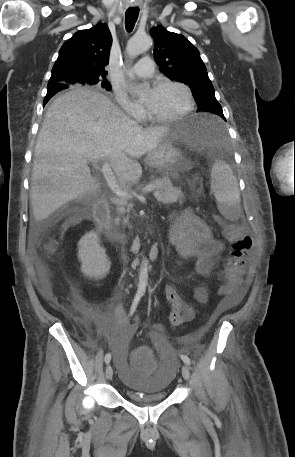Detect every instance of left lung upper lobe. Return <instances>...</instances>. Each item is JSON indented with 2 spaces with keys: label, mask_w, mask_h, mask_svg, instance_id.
I'll use <instances>...</instances> for the list:
<instances>
[{
  "label": "left lung upper lobe",
  "mask_w": 295,
  "mask_h": 457,
  "mask_svg": "<svg viewBox=\"0 0 295 457\" xmlns=\"http://www.w3.org/2000/svg\"><path fill=\"white\" fill-rule=\"evenodd\" d=\"M150 34L155 42L154 55L160 71L169 79L191 88L200 105L199 111L216 110L224 118L198 49L183 35L169 32L162 26L153 27Z\"/></svg>",
  "instance_id": "obj_1"
}]
</instances>
